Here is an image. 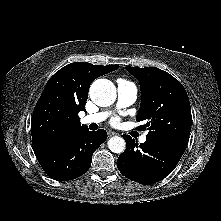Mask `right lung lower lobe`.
I'll list each match as a JSON object with an SVG mask.
<instances>
[{
    "label": "right lung lower lobe",
    "instance_id": "1",
    "mask_svg": "<svg viewBox=\"0 0 221 221\" xmlns=\"http://www.w3.org/2000/svg\"><path fill=\"white\" fill-rule=\"evenodd\" d=\"M106 139L105 130L89 131L84 128L36 157L51 178L57 181L72 180L90 168L92 154Z\"/></svg>",
    "mask_w": 221,
    "mask_h": 221
}]
</instances>
